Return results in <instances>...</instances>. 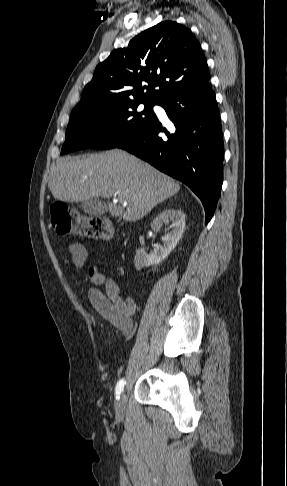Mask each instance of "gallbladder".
I'll return each instance as SVG.
<instances>
[{"label": "gallbladder", "mask_w": 287, "mask_h": 486, "mask_svg": "<svg viewBox=\"0 0 287 486\" xmlns=\"http://www.w3.org/2000/svg\"><path fill=\"white\" fill-rule=\"evenodd\" d=\"M80 208L84 213L90 216H101L108 211L107 205L98 198L83 201Z\"/></svg>", "instance_id": "obj_1"}]
</instances>
